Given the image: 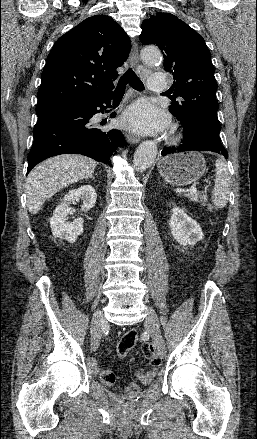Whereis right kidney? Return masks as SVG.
I'll return each mask as SVG.
<instances>
[{
	"mask_svg": "<svg viewBox=\"0 0 257 439\" xmlns=\"http://www.w3.org/2000/svg\"><path fill=\"white\" fill-rule=\"evenodd\" d=\"M96 199V191L91 185H83L78 189L70 190L56 207L53 216L50 218L53 236L74 243L77 237L83 233V219L77 218L72 223L68 222V215L73 212L69 205L75 203V201L82 200V210L87 212L94 207Z\"/></svg>",
	"mask_w": 257,
	"mask_h": 439,
	"instance_id": "obj_1",
	"label": "right kidney"
}]
</instances>
